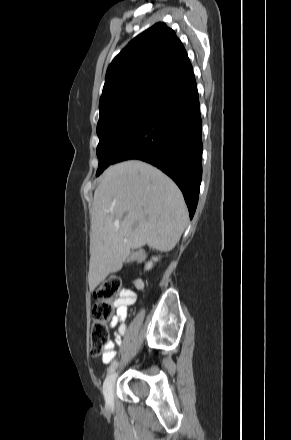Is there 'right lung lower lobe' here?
Returning <instances> with one entry per match:
<instances>
[{"instance_id": "right-lung-lower-lobe-1", "label": "right lung lower lobe", "mask_w": 291, "mask_h": 440, "mask_svg": "<svg viewBox=\"0 0 291 440\" xmlns=\"http://www.w3.org/2000/svg\"><path fill=\"white\" fill-rule=\"evenodd\" d=\"M202 120L194 73L153 100L111 164L139 159L161 169L181 189L193 217L202 179Z\"/></svg>"}]
</instances>
